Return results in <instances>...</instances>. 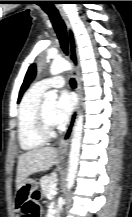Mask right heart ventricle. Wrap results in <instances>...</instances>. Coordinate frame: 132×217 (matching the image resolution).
<instances>
[{
    "mask_svg": "<svg viewBox=\"0 0 132 217\" xmlns=\"http://www.w3.org/2000/svg\"><path fill=\"white\" fill-rule=\"evenodd\" d=\"M45 90L33 85L24 94L18 111V140L21 148L32 151L42 147L46 140L39 134L36 117Z\"/></svg>",
    "mask_w": 132,
    "mask_h": 217,
    "instance_id": "1",
    "label": "right heart ventricle"
}]
</instances>
